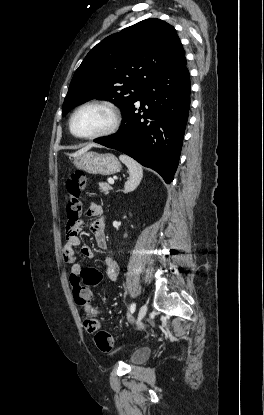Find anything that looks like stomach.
Returning <instances> with one entry per match:
<instances>
[{
    "mask_svg": "<svg viewBox=\"0 0 264 415\" xmlns=\"http://www.w3.org/2000/svg\"><path fill=\"white\" fill-rule=\"evenodd\" d=\"M73 164L87 173L103 176L112 175L121 170L120 161L111 153L100 154L87 151L75 156Z\"/></svg>",
    "mask_w": 264,
    "mask_h": 415,
    "instance_id": "obj_1",
    "label": "stomach"
}]
</instances>
